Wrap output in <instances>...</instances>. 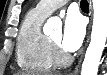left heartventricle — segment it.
Instances as JSON below:
<instances>
[{"label": "left heart ventricle", "mask_w": 107, "mask_h": 75, "mask_svg": "<svg viewBox=\"0 0 107 75\" xmlns=\"http://www.w3.org/2000/svg\"><path fill=\"white\" fill-rule=\"evenodd\" d=\"M51 39L60 44L61 34L60 33L55 34V35L51 36Z\"/></svg>", "instance_id": "b2bd125f"}]
</instances>
